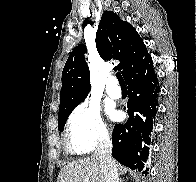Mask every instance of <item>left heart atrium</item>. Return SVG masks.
<instances>
[{
	"instance_id": "left-heart-atrium-1",
	"label": "left heart atrium",
	"mask_w": 196,
	"mask_h": 182,
	"mask_svg": "<svg viewBox=\"0 0 196 182\" xmlns=\"http://www.w3.org/2000/svg\"><path fill=\"white\" fill-rule=\"evenodd\" d=\"M110 115H111V117H112L113 119H116V118L118 117V114H117V112H115V111H111V112H110Z\"/></svg>"
}]
</instances>
